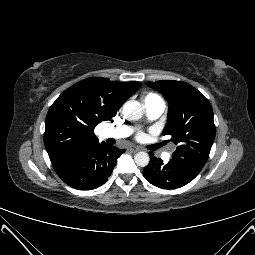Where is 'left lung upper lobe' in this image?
Returning a JSON list of instances; mask_svg holds the SVG:
<instances>
[{
  "mask_svg": "<svg viewBox=\"0 0 255 255\" xmlns=\"http://www.w3.org/2000/svg\"><path fill=\"white\" fill-rule=\"evenodd\" d=\"M169 103L168 122L163 135H171L178 144L172 157L203 167L215 137L213 110L210 102L197 89L183 81L148 82Z\"/></svg>",
  "mask_w": 255,
  "mask_h": 255,
  "instance_id": "left-lung-upper-lobe-1",
  "label": "left lung upper lobe"
}]
</instances>
